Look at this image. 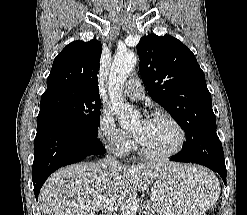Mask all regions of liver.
<instances>
[{"instance_id": "obj_1", "label": "liver", "mask_w": 247, "mask_h": 215, "mask_svg": "<svg viewBox=\"0 0 247 215\" xmlns=\"http://www.w3.org/2000/svg\"><path fill=\"white\" fill-rule=\"evenodd\" d=\"M178 166L171 162L115 168L102 162L72 164L48 178L39 194L40 210L43 215H96L93 205L104 198L125 207L164 170Z\"/></svg>"}]
</instances>
